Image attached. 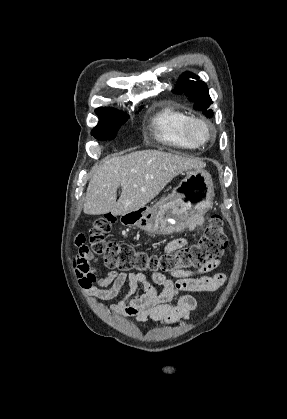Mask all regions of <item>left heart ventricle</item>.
Segmentation results:
<instances>
[{
  "mask_svg": "<svg viewBox=\"0 0 287 419\" xmlns=\"http://www.w3.org/2000/svg\"><path fill=\"white\" fill-rule=\"evenodd\" d=\"M192 136L195 139L202 140L206 138L207 133L201 125H194L191 130Z\"/></svg>",
  "mask_w": 287,
  "mask_h": 419,
  "instance_id": "1",
  "label": "left heart ventricle"
}]
</instances>
